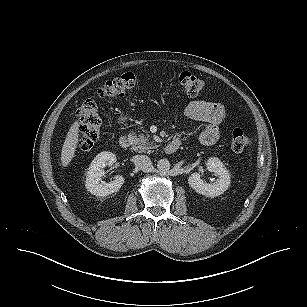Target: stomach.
<instances>
[{"label": "stomach", "instance_id": "0dacf381", "mask_svg": "<svg viewBox=\"0 0 307 307\" xmlns=\"http://www.w3.org/2000/svg\"><path fill=\"white\" fill-rule=\"evenodd\" d=\"M125 120V118H121V121H124Z\"/></svg>", "mask_w": 307, "mask_h": 307}]
</instances>
